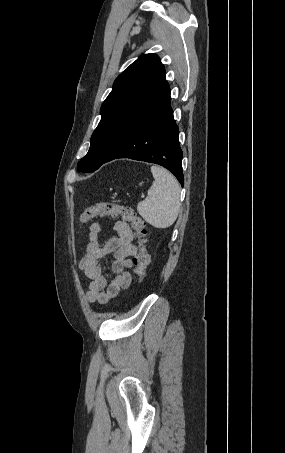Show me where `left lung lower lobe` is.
<instances>
[{"label": "left lung lower lobe", "instance_id": "1", "mask_svg": "<svg viewBox=\"0 0 285 453\" xmlns=\"http://www.w3.org/2000/svg\"><path fill=\"white\" fill-rule=\"evenodd\" d=\"M178 133L170 105V87L166 81L157 96L129 125L104 163L117 158H131L159 164L171 171L183 186V153Z\"/></svg>", "mask_w": 285, "mask_h": 453}]
</instances>
